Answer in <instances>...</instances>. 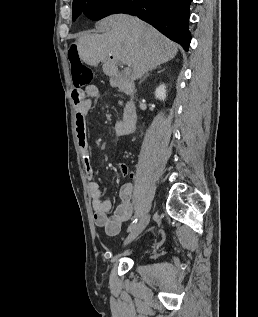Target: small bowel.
Wrapping results in <instances>:
<instances>
[{
	"label": "small bowel",
	"mask_w": 258,
	"mask_h": 317,
	"mask_svg": "<svg viewBox=\"0 0 258 317\" xmlns=\"http://www.w3.org/2000/svg\"><path fill=\"white\" fill-rule=\"evenodd\" d=\"M88 91L90 94H94L93 89H89ZM90 108L91 101L88 99L82 106L76 109L75 128L78 146L82 153L86 176L90 180L88 190L94 211V223L96 226L103 228L108 236H116L120 232L122 225L133 216L135 206L133 186L130 183H125L121 186L119 191L121 203L114 213L110 215L111 202L103 199L99 184L93 181L94 170L87 133V114ZM135 123L136 114L134 106L128 103L122 104V115L115 126L116 133L121 136L131 134L135 129ZM118 169L121 175L133 177V173L125 163H120Z\"/></svg>",
	"instance_id": "1"
}]
</instances>
